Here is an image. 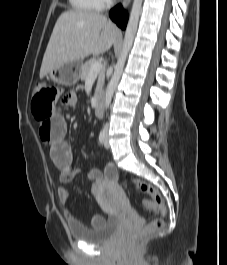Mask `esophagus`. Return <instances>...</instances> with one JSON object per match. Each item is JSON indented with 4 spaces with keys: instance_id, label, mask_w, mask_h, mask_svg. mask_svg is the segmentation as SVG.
Listing matches in <instances>:
<instances>
[{
    "instance_id": "obj_1",
    "label": "esophagus",
    "mask_w": 227,
    "mask_h": 265,
    "mask_svg": "<svg viewBox=\"0 0 227 265\" xmlns=\"http://www.w3.org/2000/svg\"><path fill=\"white\" fill-rule=\"evenodd\" d=\"M131 0H123L122 6L126 8L130 4Z\"/></svg>"
}]
</instances>
